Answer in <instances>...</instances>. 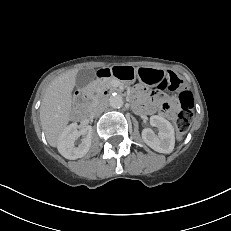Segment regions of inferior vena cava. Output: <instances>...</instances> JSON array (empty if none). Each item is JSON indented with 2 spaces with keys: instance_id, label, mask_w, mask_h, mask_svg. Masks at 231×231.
Listing matches in <instances>:
<instances>
[{
  "instance_id": "obj_1",
  "label": "inferior vena cava",
  "mask_w": 231,
  "mask_h": 231,
  "mask_svg": "<svg viewBox=\"0 0 231 231\" xmlns=\"http://www.w3.org/2000/svg\"><path fill=\"white\" fill-rule=\"evenodd\" d=\"M106 108V105L105 104H101V105H98L94 111H93V115H98L100 113H102Z\"/></svg>"
}]
</instances>
